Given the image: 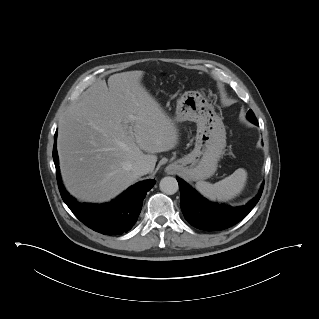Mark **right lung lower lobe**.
Instances as JSON below:
<instances>
[{"label":"right lung lower lobe","mask_w":319,"mask_h":319,"mask_svg":"<svg viewBox=\"0 0 319 319\" xmlns=\"http://www.w3.org/2000/svg\"><path fill=\"white\" fill-rule=\"evenodd\" d=\"M56 137L57 131L54 136L55 140ZM53 159L58 187L63 201L81 222L92 230L105 235H120L132 228L140 214L146 193L156 182L155 180L139 182L128 188L110 203L82 204L70 196L61 183L56 141H54Z\"/></svg>","instance_id":"right-lung-lower-lobe-1"}]
</instances>
